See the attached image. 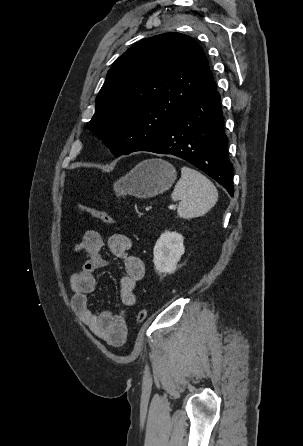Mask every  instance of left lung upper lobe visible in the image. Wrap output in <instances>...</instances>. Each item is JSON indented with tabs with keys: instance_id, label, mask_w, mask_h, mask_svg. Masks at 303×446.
<instances>
[{
	"instance_id": "left-lung-upper-lobe-1",
	"label": "left lung upper lobe",
	"mask_w": 303,
	"mask_h": 446,
	"mask_svg": "<svg viewBox=\"0 0 303 446\" xmlns=\"http://www.w3.org/2000/svg\"><path fill=\"white\" fill-rule=\"evenodd\" d=\"M213 80L203 49L190 36L166 33L123 53L108 71L87 128L116 157L163 134Z\"/></svg>"
}]
</instances>
